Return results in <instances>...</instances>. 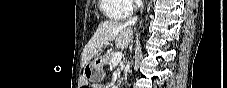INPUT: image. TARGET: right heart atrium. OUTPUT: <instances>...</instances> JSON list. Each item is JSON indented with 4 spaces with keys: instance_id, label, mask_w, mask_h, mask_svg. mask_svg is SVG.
<instances>
[{
    "instance_id": "d8ad5b80",
    "label": "right heart atrium",
    "mask_w": 227,
    "mask_h": 88,
    "mask_svg": "<svg viewBox=\"0 0 227 88\" xmlns=\"http://www.w3.org/2000/svg\"><path fill=\"white\" fill-rule=\"evenodd\" d=\"M131 2H132V3H135V1H131ZM134 9H135V5H131V6H130V11H129V13L133 12Z\"/></svg>"
}]
</instances>
